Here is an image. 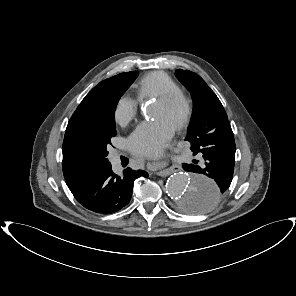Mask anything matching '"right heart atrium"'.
Here are the masks:
<instances>
[{"instance_id":"d8ad5b80","label":"right heart atrium","mask_w":296,"mask_h":296,"mask_svg":"<svg viewBox=\"0 0 296 296\" xmlns=\"http://www.w3.org/2000/svg\"><path fill=\"white\" fill-rule=\"evenodd\" d=\"M137 113V101L129 96H122L115 105L114 120L118 125L125 127L136 118Z\"/></svg>"}]
</instances>
